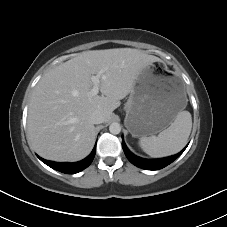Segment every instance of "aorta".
<instances>
[{"instance_id":"762f6f07","label":"aorta","mask_w":227,"mask_h":227,"mask_svg":"<svg viewBox=\"0 0 227 227\" xmlns=\"http://www.w3.org/2000/svg\"><path fill=\"white\" fill-rule=\"evenodd\" d=\"M109 131H110V133L115 134V135L119 134L121 132L120 124L117 122L111 123L109 126Z\"/></svg>"}]
</instances>
